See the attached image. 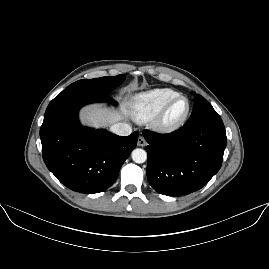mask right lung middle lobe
I'll return each instance as SVG.
<instances>
[{
    "mask_svg": "<svg viewBox=\"0 0 269 269\" xmlns=\"http://www.w3.org/2000/svg\"><path fill=\"white\" fill-rule=\"evenodd\" d=\"M125 79L124 75L106 76L95 79H83L70 84L65 90H81L88 93L108 94Z\"/></svg>",
    "mask_w": 269,
    "mask_h": 269,
    "instance_id": "dd1d6c3e",
    "label": "right lung middle lobe"
}]
</instances>
